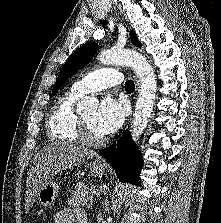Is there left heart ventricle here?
<instances>
[{"label":"left heart ventricle","instance_id":"left-heart-ventricle-1","mask_svg":"<svg viewBox=\"0 0 221 223\" xmlns=\"http://www.w3.org/2000/svg\"><path fill=\"white\" fill-rule=\"evenodd\" d=\"M82 117L85 119L92 135L101 137L103 136L96 127V117H97V112L95 110L87 112L86 114L82 115Z\"/></svg>","mask_w":221,"mask_h":223}]
</instances>
